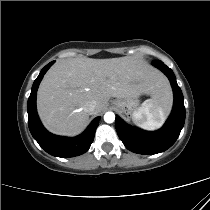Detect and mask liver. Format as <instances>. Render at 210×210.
Returning a JSON list of instances; mask_svg holds the SVG:
<instances>
[{"label": "liver", "mask_w": 210, "mask_h": 210, "mask_svg": "<svg viewBox=\"0 0 210 210\" xmlns=\"http://www.w3.org/2000/svg\"><path fill=\"white\" fill-rule=\"evenodd\" d=\"M141 94L171 101L166 77L137 57L65 59L51 67L37 92V110L51 132H80L90 115L102 112L110 99H129ZM95 101L94 112L87 109Z\"/></svg>", "instance_id": "1"}]
</instances>
